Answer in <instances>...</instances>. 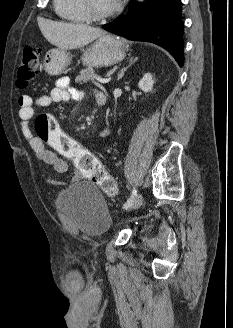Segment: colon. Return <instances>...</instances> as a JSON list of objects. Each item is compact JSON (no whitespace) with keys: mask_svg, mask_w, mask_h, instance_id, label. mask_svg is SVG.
Returning <instances> with one entry per match:
<instances>
[{"mask_svg":"<svg viewBox=\"0 0 233 328\" xmlns=\"http://www.w3.org/2000/svg\"><path fill=\"white\" fill-rule=\"evenodd\" d=\"M38 68V54L36 49L25 46L17 72L16 84L18 88H26L34 79ZM35 130L37 137L64 158L72 161L81 174L90 178L109 195L118 194V187L114 178L105 170L101 162L77 141L68 136L58 125L56 120L41 114L36 118Z\"/></svg>","mask_w":233,"mask_h":328,"instance_id":"5ec220e1","label":"colon"}]
</instances>
